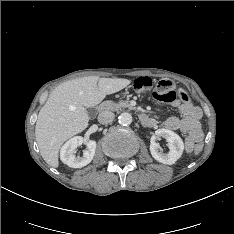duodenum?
I'll return each instance as SVG.
<instances>
[{
    "mask_svg": "<svg viewBox=\"0 0 234 234\" xmlns=\"http://www.w3.org/2000/svg\"><path fill=\"white\" fill-rule=\"evenodd\" d=\"M110 108V105L109 104H103L101 107H100V111L104 112V111H107L108 109ZM140 120L143 124L147 123L149 121V118L144 115V114H141L140 115Z\"/></svg>",
    "mask_w": 234,
    "mask_h": 234,
    "instance_id": "obj_1",
    "label": "duodenum"
}]
</instances>
